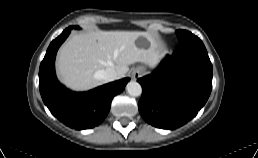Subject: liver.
Instances as JSON below:
<instances>
[{
  "mask_svg": "<svg viewBox=\"0 0 258 158\" xmlns=\"http://www.w3.org/2000/svg\"><path fill=\"white\" fill-rule=\"evenodd\" d=\"M157 42L150 32L91 31L71 36L60 48L57 70L61 81L73 90H88L105 83L100 73L108 67L125 76L129 65H154Z\"/></svg>",
  "mask_w": 258,
  "mask_h": 158,
  "instance_id": "6515ba94",
  "label": "liver"
}]
</instances>
